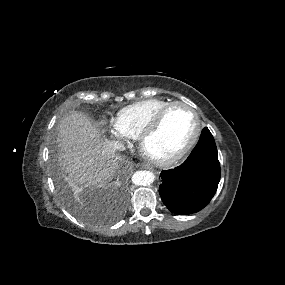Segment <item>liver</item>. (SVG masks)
<instances>
[{"label":"liver","instance_id":"6515ba94","mask_svg":"<svg viewBox=\"0 0 285 285\" xmlns=\"http://www.w3.org/2000/svg\"><path fill=\"white\" fill-rule=\"evenodd\" d=\"M58 142L63 170L74 186H102L111 179L116 165L106 143L90 119L80 112L62 118Z\"/></svg>","mask_w":285,"mask_h":285}]
</instances>
